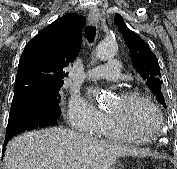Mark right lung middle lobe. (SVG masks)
Listing matches in <instances>:
<instances>
[{
  "label": "right lung middle lobe",
  "mask_w": 177,
  "mask_h": 169,
  "mask_svg": "<svg viewBox=\"0 0 177 169\" xmlns=\"http://www.w3.org/2000/svg\"><path fill=\"white\" fill-rule=\"evenodd\" d=\"M59 86H42L31 84L14 93L11 111L34 110L46 111L56 116L61 115Z\"/></svg>",
  "instance_id": "dd1d6c3e"
}]
</instances>
